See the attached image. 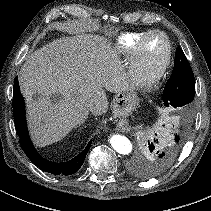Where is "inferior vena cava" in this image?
<instances>
[{
	"mask_svg": "<svg viewBox=\"0 0 211 211\" xmlns=\"http://www.w3.org/2000/svg\"><path fill=\"white\" fill-rule=\"evenodd\" d=\"M89 107H90V109L92 110V109H93V107H94V103H93V102H91V103L89 104Z\"/></svg>",
	"mask_w": 211,
	"mask_h": 211,
	"instance_id": "obj_1",
	"label": "inferior vena cava"
}]
</instances>
